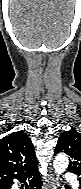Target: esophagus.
Segmentation results:
<instances>
[{
	"mask_svg": "<svg viewBox=\"0 0 81 189\" xmlns=\"http://www.w3.org/2000/svg\"><path fill=\"white\" fill-rule=\"evenodd\" d=\"M57 182H58V180H57L56 176L52 173L49 177V182L47 184H45L44 189H56Z\"/></svg>",
	"mask_w": 81,
	"mask_h": 189,
	"instance_id": "obj_1",
	"label": "esophagus"
}]
</instances>
